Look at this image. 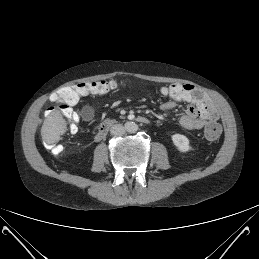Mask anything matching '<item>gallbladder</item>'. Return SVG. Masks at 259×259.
Masks as SVG:
<instances>
[{"instance_id":"gallbladder-1","label":"gallbladder","mask_w":259,"mask_h":259,"mask_svg":"<svg viewBox=\"0 0 259 259\" xmlns=\"http://www.w3.org/2000/svg\"><path fill=\"white\" fill-rule=\"evenodd\" d=\"M81 117L84 121L86 122H91L95 119L96 117V112L93 108L91 107H86L82 110L81 112Z\"/></svg>"}]
</instances>
